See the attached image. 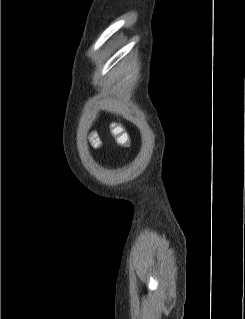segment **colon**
<instances>
[{
  "instance_id": "5ec220e1",
  "label": "colon",
  "mask_w": 245,
  "mask_h": 319,
  "mask_svg": "<svg viewBox=\"0 0 245 319\" xmlns=\"http://www.w3.org/2000/svg\"><path fill=\"white\" fill-rule=\"evenodd\" d=\"M111 134L115 139V142L118 146H126L128 144L127 135L117 126L111 128Z\"/></svg>"
}]
</instances>
